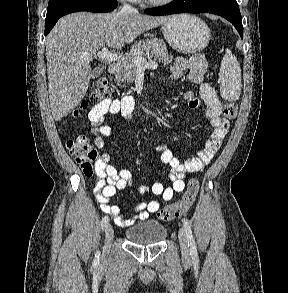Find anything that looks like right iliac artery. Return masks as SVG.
Returning a JSON list of instances; mask_svg holds the SVG:
<instances>
[{
  "mask_svg": "<svg viewBox=\"0 0 288 293\" xmlns=\"http://www.w3.org/2000/svg\"><path fill=\"white\" fill-rule=\"evenodd\" d=\"M108 221H109L108 216L103 217V219L101 221V227H102V229L107 225ZM98 262H99V252H97L95 254L94 264H98Z\"/></svg>",
  "mask_w": 288,
  "mask_h": 293,
  "instance_id": "1",
  "label": "right iliac artery"
}]
</instances>
